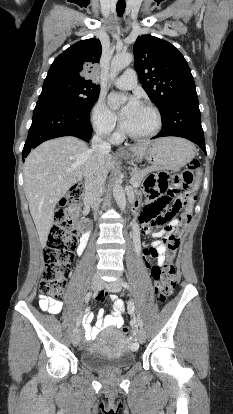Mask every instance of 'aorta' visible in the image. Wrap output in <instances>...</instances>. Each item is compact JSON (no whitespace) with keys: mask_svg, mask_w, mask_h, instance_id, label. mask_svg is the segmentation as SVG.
Wrapping results in <instances>:
<instances>
[{"mask_svg":"<svg viewBox=\"0 0 233 414\" xmlns=\"http://www.w3.org/2000/svg\"><path fill=\"white\" fill-rule=\"evenodd\" d=\"M133 60V55L130 53L116 54L111 61L110 75L115 78L120 71L125 69ZM113 196L117 205L121 210L126 208V196L120 180L116 179L113 184Z\"/></svg>","mask_w":233,"mask_h":414,"instance_id":"1","label":"aorta"}]
</instances>
